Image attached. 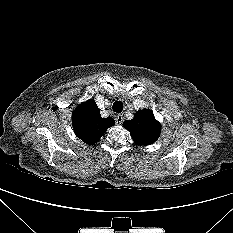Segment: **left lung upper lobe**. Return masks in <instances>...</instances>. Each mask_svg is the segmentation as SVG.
I'll use <instances>...</instances> for the list:
<instances>
[{"label":"left lung upper lobe","instance_id":"1","mask_svg":"<svg viewBox=\"0 0 233 233\" xmlns=\"http://www.w3.org/2000/svg\"><path fill=\"white\" fill-rule=\"evenodd\" d=\"M124 128L129 130L133 141L138 145H151L159 137L161 125L149 109L139 110L134 118L123 122Z\"/></svg>","mask_w":233,"mask_h":233}]
</instances>
